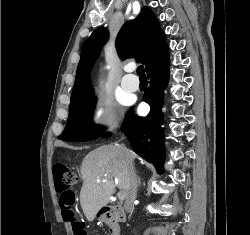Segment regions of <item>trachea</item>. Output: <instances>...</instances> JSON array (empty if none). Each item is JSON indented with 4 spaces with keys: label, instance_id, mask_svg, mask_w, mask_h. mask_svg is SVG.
<instances>
[{
    "label": "trachea",
    "instance_id": "trachea-1",
    "mask_svg": "<svg viewBox=\"0 0 250 235\" xmlns=\"http://www.w3.org/2000/svg\"><path fill=\"white\" fill-rule=\"evenodd\" d=\"M137 74L140 78H146V74H145L143 65H140L137 67Z\"/></svg>",
    "mask_w": 250,
    "mask_h": 235
}]
</instances>
